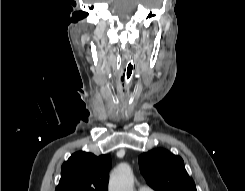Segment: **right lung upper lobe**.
Here are the masks:
<instances>
[{"label": "right lung upper lobe", "mask_w": 245, "mask_h": 191, "mask_svg": "<svg viewBox=\"0 0 245 191\" xmlns=\"http://www.w3.org/2000/svg\"><path fill=\"white\" fill-rule=\"evenodd\" d=\"M111 158L76 152L64 162L55 191H107Z\"/></svg>", "instance_id": "obj_1"}]
</instances>
